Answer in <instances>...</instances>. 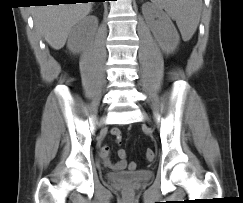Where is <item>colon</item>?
<instances>
[{
  "label": "colon",
  "mask_w": 243,
  "mask_h": 203,
  "mask_svg": "<svg viewBox=\"0 0 243 203\" xmlns=\"http://www.w3.org/2000/svg\"><path fill=\"white\" fill-rule=\"evenodd\" d=\"M120 155L121 156H126L125 150H120ZM146 160L147 161H153L155 159V154L152 150H147L145 154ZM131 169H134L136 167L135 163L130 164Z\"/></svg>",
  "instance_id": "obj_1"
}]
</instances>
